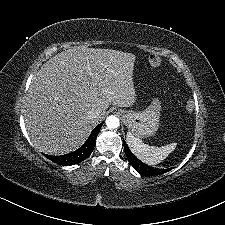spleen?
I'll use <instances>...</instances> for the list:
<instances>
[{"label": "spleen", "mask_w": 225, "mask_h": 225, "mask_svg": "<svg viewBox=\"0 0 225 225\" xmlns=\"http://www.w3.org/2000/svg\"><path fill=\"white\" fill-rule=\"evenodd\" d=\"M126 142L132 153L147 165H156L163 161L176 147V143H171L162 147L149 146L139 138L128 132Z\"/></svg>", "instance_id": "obj_1"}]
</instances>
